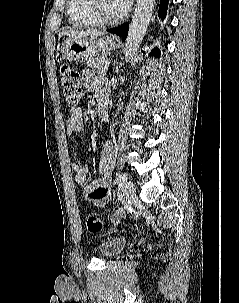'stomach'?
I'll list each match as a JSON object with an SVG mask.
<instances>
[{"mask_svg": "<svg viewBox=\"0 0 239 303\" xmlns=\"http://www.w3.org/2000/svg\"><path fill=\"white\" fill-rule=\"evenodd\" d=\"M116 45L114 36L68 39L61 47V54L63 59L69 61H83L96 55H107L115 49Z\"/></svg>", "mask_w": 239, "mask_h": 303, "instance_id": "stomach-1", "label": "stomach"}]
</instances>
